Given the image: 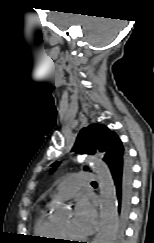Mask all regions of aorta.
I'll list each match as a JSON object with an SVG mask.
<instances>
[{
	"instance_id": "762f6f07",
	"label": "aorta",
	"mask_w": 154,
	"mask_h": 243,
	"mask_svg": "<svg viewBox=\"0 0 154 243\" xmlns=\"http://www.w3.org/2000/svg\"><path fill=\"white\" fill-rule=\"evenodd\" d=\"M99 179L101 194L100 225L98 233L92 243H114L117 227V207L114 182L111 172L106 164L94 157H87ZM62 209L60 203L54 205V210L59 214Z\"/></svg>"
}]
</instances>
